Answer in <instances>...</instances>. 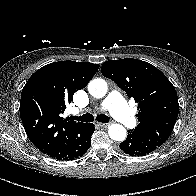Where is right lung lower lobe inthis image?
<instances>
[{"label": "right lung lower lobe", "mask_w": 196, "mask_h": 196, "mask_svg": "<svg viewBox=\"0 0 196 196\" xmlns=\"http://www.w3.org/2000/svg\"><path fill=\"white\" fill-rule=\"evenodd\" d=\"M95 128L93 124H84L73 132L60 146L45 153L57 160H73L82 156L89 148L91 136Z\"/></svg>", "instance_id": "1"}]
</instances>
